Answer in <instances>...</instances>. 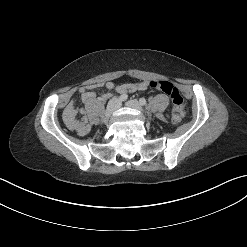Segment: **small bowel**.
Masks as SVG:
<instances>
[{
  "instance_id": "1",
  "label": "small bowel",
  "mask_w": 247,
  "mask_h": 247,
  "mask_svg": "<svg viewBox=\"0 0 247 247\" xmlns=\"http://www.w3.org/2000/svg\"><path fill=\"white\" fill-rule=\"evenodd\" d=\"M101 87L115 89L118 92L125 93L146 90L149 87V83L146 81H141L137 83H125L120 85H115L113 82L92 84L87 88L82 87L79 89V94L82 101L87 103L93 100L96 97V93L93 89ZM102 98H106V95H103ZM78 113L82 116L81 119H77ZM63 119L67 128L76 131L80 136L86 135L91 129V124L88 122L86 117V109H77L74 100H71L66 106Z\"/></svg>"
}]
</instances>
